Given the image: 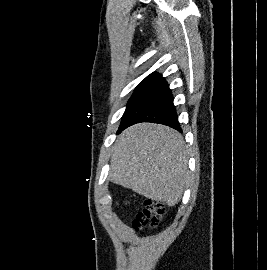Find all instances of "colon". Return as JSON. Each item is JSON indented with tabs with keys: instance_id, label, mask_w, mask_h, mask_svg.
I'll return each mask as SVG.
<instances>
[{
	"instance_id": "5ec220e1",
	"label": "colon",
	"mask_w": 267,
	"mask_h": 270,
	"mask_svg": "<svg viewBox=\"0 0 267 270\" xmlns=\"http://www.w3.org/2000/svg\"><path fill=\"white\" fill-rule=\"evenodd\" d=\"M145 205V209L139 212L133 220L132 226L136 231L157 226L163 217L164 207L161 203L147 200Z\"/></svg>"
}]
</instances>
